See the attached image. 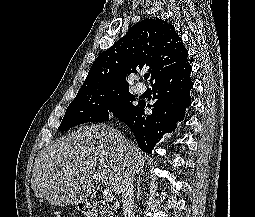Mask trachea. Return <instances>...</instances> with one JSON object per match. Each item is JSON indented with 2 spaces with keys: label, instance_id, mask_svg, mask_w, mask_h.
Here are the masks:
<instances>
[{
  "label": "trachea",
  "instance_id": "obj_1",
  "mask_svg": "<svg viewBox=\"0 0 255 217\" xmlns=\"http://www.w3.org/2000/svg\"><path fill=\"white\" fill-rule=\"evenodd\" d=\"M149 76H150L149 74H145V75H144V78H145V79H148Z\"/></svg>",
  "mask_w": 255,
  "mask_h": 217
}]
</instances>
